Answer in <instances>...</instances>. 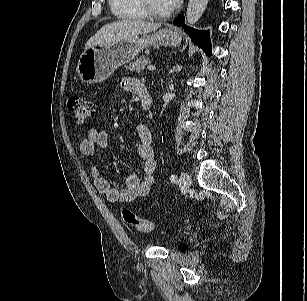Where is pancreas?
Here are the masks:
<instances>
[{"label": "pancreas", "instance_id": "obj_1", "mask_svg": "<svg viewBox=\"0 0 307 301\" xmlns=\"http://www.w3.org/2000/svg\"><path fill=\"white\" fill-rule=\"evenodd\" d=\"M149 63H150L149 58L147 56H142L140 58H137L136 61L131 62L128 66H126V68L131 71H137L140 73Z\"/></svg>", "mask_w": 307, "mask_h": 301}]
</instances>
